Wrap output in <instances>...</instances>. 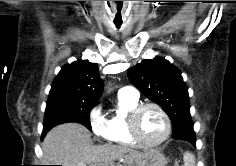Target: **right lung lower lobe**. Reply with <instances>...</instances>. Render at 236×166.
I'll return each instance as SVG.
<instances>
[{
    "mask_svg": "<svg viewBox=\"0 0 236 166\" xmlns=\"http://www.w3.org/2000/svg\"><path fill=\"white\" fill-rule=\"evenodd\" d=\"M45 134H46V133H44V132L42 133V138L45 136Z\"/></svg>",
    "mask_w": 236,
    "mask_h": 166,
    "instance_id": "obj_1",
    "label": "right lung lower lobe"
}]
</instances>
